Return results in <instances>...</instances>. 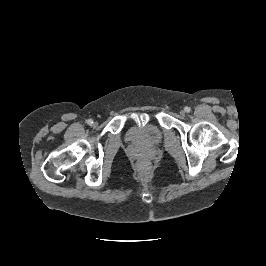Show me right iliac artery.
I'll use <instances>...</instances> for the list:
<instances>
[{"instance_id": "right-iliac-artery-1", "label": "right iliac artery", "mask_w": 266, "mask_h": 266, "mask_svg": "<svg viewBox=\"0 0 266 266\" xmlns=\"http://www.w3.org/2000/svg\"><path fill=\"white\" fill-rule=\"evenodd\" d=\"M87 124H89V125L93 124V120L92 119H88L87 120Z\"/></svg>"}]
</instances>
